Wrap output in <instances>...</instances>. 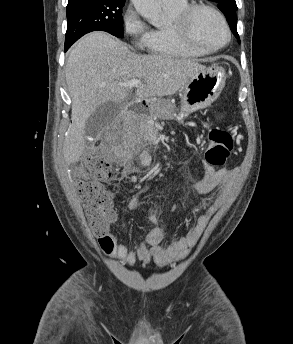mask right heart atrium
<instances>
[{
	"label": "right heart atrium",
	"instance_id": "obj_1",
	"mask_svg": "<svg viewBox=\"0 0 293 344\" xmlns=\"http://www.w3.org/2000/svg\"><path fill=\"white\" fill-rule=\"evenodd\" d=\"M122 26L125 35L133 45L137 49H144L150 29L132 6H129L123 13Z\"/></svg>",
	"mask_w": 293,
	"mask_h": 344
}]
</instances>
